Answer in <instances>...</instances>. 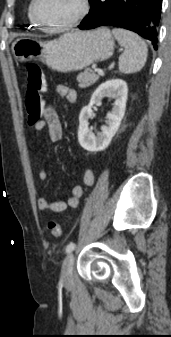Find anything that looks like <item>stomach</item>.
Masks as SVG:
<instances>
[{
    "label": "stomach",
    "mask_w": 171,
    "mask_h": 337,
    "mask_svg": "<svg viewBox=\"0 0 171 337\" xmlns=\"http://www.w3.org/2000/svg\"><path fill=\"white\" fill-rule=\"evenodd\" d=\"M115 41L106 27L66 33L52 41L21 38L12 43L14 57L22 62L33 59L59 72L81 70L93 62L110 58Z\"/></svg>",
    "instance_id": "1"
}]
</instances>
